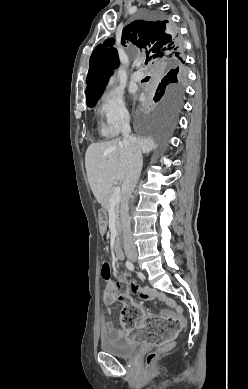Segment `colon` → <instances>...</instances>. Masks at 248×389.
Segmentation results:
<instances>
[{"label":"colon","instance_id":"colon-1","mask_svg":"<svg viewBox=\"0 0 248 389\" xmlns=\"http://www.w3.org/2000/svg\"><path fill=\"white\" fill-rule=\"evenodd\" d=\"M102 274L104 279L109 282L110 264L108 262L103 264ZM116 274L123 280L130 278L128 273H123L120 270ZM129 294L128 289H120L119 291L118 288L109 286L104 290L103 299L107 303L117 299L124 303L120 313V321L122 329L131 332L127 335L128 340H137L141 344H162L156 351L149 353L146 359L147 366L154 369L156 359L174 347L175 339L171 336L181 329L182 322L177 317L163 318L161 315H153L151 318H147L145 326H135L136 322L143 320V317L139 314L141 307L132 304L134 298ZM165 339L166 343H164Z\"/></svg>","mask_w":248,"mask_h":389}]
</instances>
